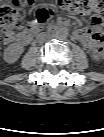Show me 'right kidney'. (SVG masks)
<instances>
[{"instance_id": "right-kidney-1", "label": "right kidney", "mask_w": 104, "mask_h": 137, "mask_svg": "<svg viewBox=\"0 0 104 137\" xmlns=\"http://www.w3.org/2000/svg\"><path fill=\"white\" fill-rule=\"evenodd\" d=\"M23 53V47L18 43L10 44L4 51V60L7 63L16 62Z\"/></svg>"}]
</instances>
